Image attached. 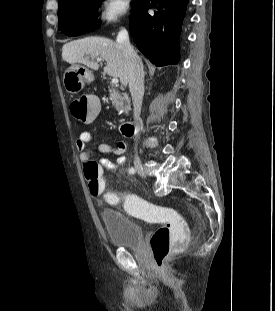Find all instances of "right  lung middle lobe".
<instances>
[{"instance_id":"dd1d6c3e","label":"right lung middle lobe","mask_w":275,"mask_h":311,"mask_svg":"<svg viewBox=\"0 0 275 311\" xmlns=\"http://www.w3.org/2000/svg\"><path fill=\"white\" fill-rule=\"evenodd\" d=\"M103 0H68L59 5L58 29L68 36L78 35L79 28L84 24L93 23L95 27L97 22V9ZM142 0L132 3L133 10L139 6Z\"/></svg>"}]
</instances>
